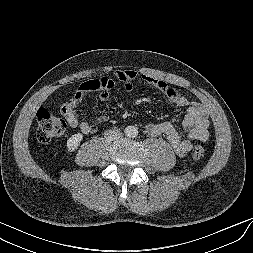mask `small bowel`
<instances>
[{"mask_svg": "<svg viewBox=\"0 0 253 253\" xmlns=\"http://www.w3.org/2000/svg\"><path fill=\"white\" fill-rule=\"evenodd\" d=\"M115 75L118 80L123 82V88L128 93L133 90V81L140 76L150 88L161 92L169 103L187 108V112L182 121L185 132L184 138L180 137L176 128L170 122L149 123L146 125V131L151 136H165L178 156L184 157L188 155L194 141L205 142L209 139L210 122L207 110L203 105L197 102H191L167 82L150 74L139 73L134 69H123L117 71ZM113 86L114 82L108 78L89 80L82 83L76 89L73 96L61 108V112L69 125L78 128L84 135L95 133L98 130L99 124L106 122L108 117L101 115L89 123L82 120L76 107L81 103L86 94L92 91L99 92V98L102 102L107 101Z\"/></svg>", "mask_w": 253, "mask_h": 253, "instance_id": "c3829d8e", "label": "small bowel"}]
</instances>
